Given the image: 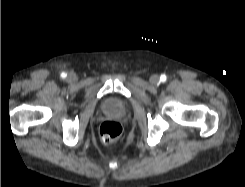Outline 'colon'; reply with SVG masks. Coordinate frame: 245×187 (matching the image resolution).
Returning <instances> with one entry per match:
<instances>
[{"instance_id": "5ec220e1", "label": "colon", "mask_w": 245, "mask_h": 187, "mask_svg": "<svg viewBox=\"0 0 245 187\" xmlns=\"http://www.w3.org/2000/svg\"><path fill=\"white\" fill-rule=\"evenodd\" d=\"M122 133V126L119 122L108 120L101 124L99 134L104 142H113L119 138Z\"/></svg>"}]
</instances>
